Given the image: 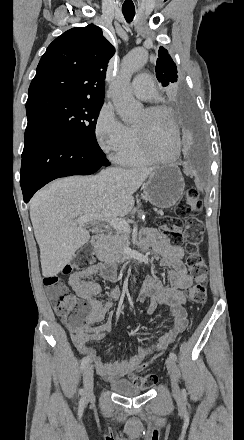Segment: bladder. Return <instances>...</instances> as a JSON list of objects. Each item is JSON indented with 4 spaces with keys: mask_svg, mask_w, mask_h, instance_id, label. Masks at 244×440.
<instances>
[{
    "mask_svg": "<svg viewBox=\"0 0 244 440\" xmlns=\"http://www.w3.org/2000/svg\"><path fill=\"white\" fill-rule=\"evenodd\" d=\"M112 387L114 392L122 395L142 394V388H138L132 382L126 380L112 382Z\"/></svg>",
    "mask_w": 244,
    "mask_h": 440,
    "instance_id": "1",
    "label": "bladder"
}]
</instances>
